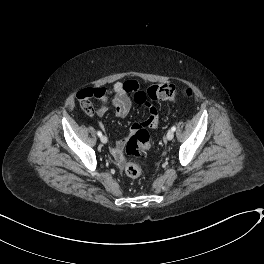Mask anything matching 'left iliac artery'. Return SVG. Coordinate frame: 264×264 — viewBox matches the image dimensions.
Wrapping results in <instances>:
<instances>
[{
  "label": "left iliac artery",
  "mask_w": 264,
  "mask_h": 264,
  "mask_svg": "<svg viewBox=\"0 0 264 264\" xmlns=\"http://www.w3.org/2000/svg\"><path fill=\"white\" fill-rule=\"evenodd\" d=\"M171 130L174 132V131L176 130V127L173 126V127L171 128Z\"/></svg>",
  "instance_id": "obj_1"
}]
</instances>
